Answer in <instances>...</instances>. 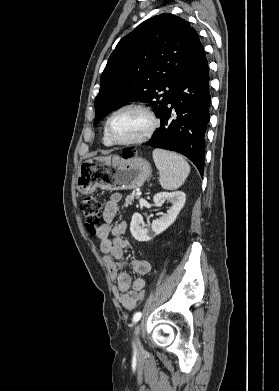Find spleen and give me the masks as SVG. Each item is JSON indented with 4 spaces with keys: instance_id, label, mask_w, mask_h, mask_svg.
I'll return each instance as SVG.
<instances>
[{
    "instance_id": "1",
    "label": "spleen",
    "mask_w": 279,
    "mask_h": 391,
    "mask_svg": "<svg viewBox=\"0 0 279 391\" xmlns=\"http://www.w3.org/2000/svg\"><path fill=\"white\" fill-rule=\"evenodd\" d=\"M153 160L160 172V184L165 190L178 189L190 173V166L186 160L164 149L153 150Z\"/></svg>"
}]
</instances>
